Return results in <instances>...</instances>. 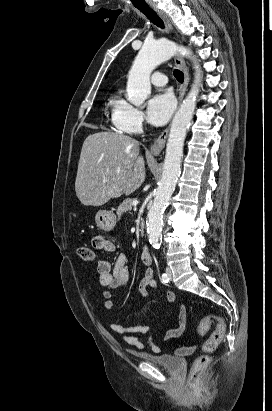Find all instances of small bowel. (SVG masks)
Masks as SVG:
<instances>
[{
	"label": "small bowel",
	"instance_id": "small-bowel-1",
	"mask_svg": "<svg viewBox=\"0 0 272 411\" xmlns=\"http://www.w3.org/2000/svg\"><path fill=\"white\" fill-rule=\"evenodd\" d=\"M92 245L95 249L107 253H115L117 251L115 243L108 240L103 234H96L92 239ZM97 271L99 274V283L104 288V309L105 311L110 312L114 308V302L112 300L113 290L123 288L129 283L130 272L128 268V258L124 254H119L114 262L108 260L99 261L97 264ZM148 289H157V282L154 279V273L151 267H146L144 276L139 283V293L142 298H149ZM165 298L169 303H174L176 295L173 291L169 290L165 292ZM177 321L178 326L176 328L165 330L162 333L163 340L180 337L185 332L187 323V310L185 306L180 307ZM109 327L113 332L119 335L126 344L138 350L143 349L146 344L153 352H160V348L155 342V335L149 336L146 339V342H143L136 336L147 334L152 327L150 324L124 327L118 323L111 322ZM194 350V346H189L177 349L176 353L179 355H186L192 353Z\"/></svg>",
	"mask_w": 272,
	"mask_h": 411
}]
</instances>
